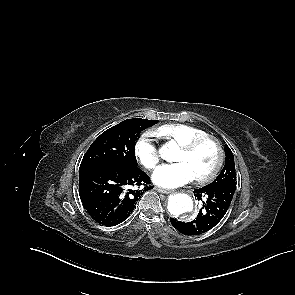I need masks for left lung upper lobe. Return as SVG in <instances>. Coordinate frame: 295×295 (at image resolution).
I'll return each mask as SVG.
<instances>
[{"label": "left lung upper lobe", "instance_id": "5c2ea615", "mask_svg": "<svg viewBox=\"0 0 295 295\" xmlns=\"http://www.w3.org/2000/svg\"><path fill=\"white\" fill-rule=\"evenodd\" d=\"M225 155L226 161L225 166L217 178L210 184V186L215 185H233L236 187V172L234 164V156L230 148L225 145Z\"/></svg>", "mask_w": 295, "mask_h": 295}]
</instances>
